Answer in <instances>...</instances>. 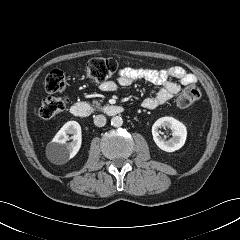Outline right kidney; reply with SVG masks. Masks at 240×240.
<instances>
[{"label":"right kidney","mask_w":240,"mask_h":240,"mask_svg":"<svg viewBox=\"0 0 240 240\" xmlns=\"http://www.w3.org/2000/svg\"><path fill=\"white\" fill-rule=\"evenodd\" d=\"M68 134H72V142ZM82 143L81 126L76 121H69L57 132L47 147V154L51 162L64 164L73 158L79 151Z\"/></svg>","instance_id":"obj_1"}]
</instances>
